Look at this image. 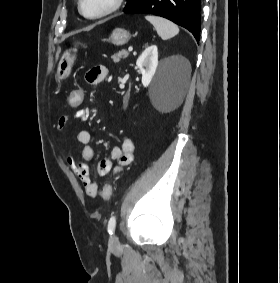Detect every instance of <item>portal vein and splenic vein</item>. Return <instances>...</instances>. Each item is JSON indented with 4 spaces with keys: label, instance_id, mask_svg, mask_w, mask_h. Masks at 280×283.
Returning <instances> with one entry per match:
<instances>
[{
    "label": "portal vein and splenic vein",
    "instance_id": "1",
    "mask_svg": "<svg viewBox=\"0 0 280 283\" xmlns=\"http://www.w3.org/2000/svg\"><path fill=\"white\" fill-rule=\"evenodd\" d=\"M132 50H133V48H132V47H129V48H128V51H129V52H131Z\"/></svg>",
    "mask_w": 280,
    "mask_h": 283
}]
</instances>
